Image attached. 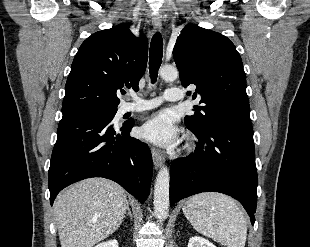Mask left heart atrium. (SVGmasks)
I'll use <instances>...</instances> for the list:
<instances>
[{
	"instance_id": "1",
	"label": "left heart atrium",
	"mask_w": 310,
	"mask_h": 247,
	"mask_svg": "<svg viewBox=\"0 0 310 247\" xmlns=\"http://www.w3.org/2000/svg\"><path fill=\"white\" fill-rule=\"evenodd\" d=\"M141 136L160 147L171 148L178 141L179 131L173 115L160 111L142 126Z\"/></svg>"
}]
</instances>
